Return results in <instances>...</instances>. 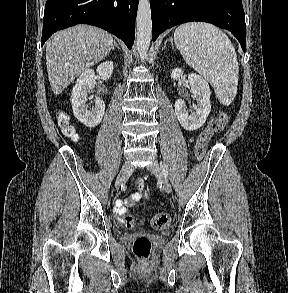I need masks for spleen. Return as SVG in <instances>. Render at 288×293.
Segmentation results:
<instances>
[{
    "instance_id": "obj_1",
    "label": "spleen",
    "mask_w": 288,
    "mask_h": 293,
    "mask_svg": "<svg viewBox=\"0 0 288 293\" xmlns=\"http://www.w3.org/2000/svg\"><path fill=\"white\" fill-rule=\"evenodd\" d=\"M174 42L186 63L214 88L223 105L237 93L239 66L235 49L219 28L209 23H185L176 28Z\"/></svg>"
}]
</instances>
